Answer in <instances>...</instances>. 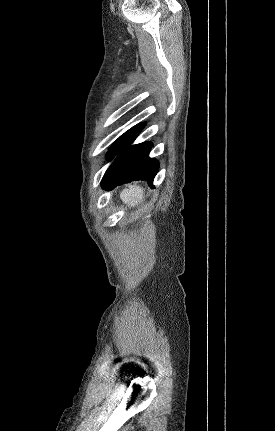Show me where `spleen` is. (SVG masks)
<instances>
[{"label":"spleen","instance_id":"obj_1","mask_svg":"<svg viewBox=\"0 0 275 431\" xmlns=\"http://www.w3.org/2000/svg\"><path fill=\"white\" fill-rule=\"evenodd\" d=\"M120 198L127 206L134 207L143 201L144 190L139 186H130L121 192Z\"/></svg>","mask_w":275,"mask_h":431}]
</instances>
